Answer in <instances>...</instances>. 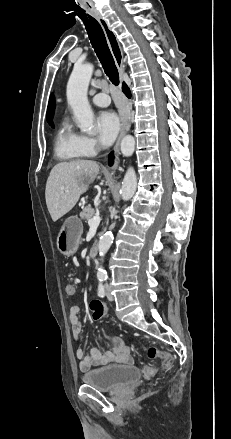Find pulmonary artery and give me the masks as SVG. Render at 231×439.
I'll use <instances>...</instances> for the list:
<instances>
[{
  "label": "pulmonary artery",
  "mask_w": 231,
  "mask_h": 439,
  "mask_svg": "<svg viewBox=\"0 0 231 439\" xmlns=\"http://www.w3.org/2000/svg\"><path fill=\"white\" fill-rule=\"evenodd\" d=\"M92 102L98 107H107L110 104V97L107 93H97L93 96Z\"/></svg>",
  "instance_id": "pulmonary-artery-1"
}]
</instances>
